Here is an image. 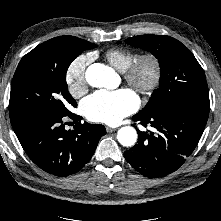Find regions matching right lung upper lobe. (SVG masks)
Returning <instances> with one entry per match:
<instances>
[{"label":"right lung upper lobe","instance_id":"cb5924a9","mask_svg":"<svg viewBox=\"0 0 221 221\" xmlns=\"http://www.w3.org/2000/svg\"><path fill=\"white\" fill-rule=\"evenodd\" d=\"M74 38H76L80 43H82V44H86V43H88L87 41H85V40H83V39H79V38H77V37H74Z\"/></svg>","mask_w":221,"mask_h":221}]
</instances>
